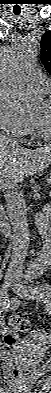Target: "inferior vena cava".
Here are the masks:
<instances>
[{
	"label": "inferior vena cava",
	"mask_w": 51,
	"mask_h": 393,
	"mask_svg": "<svg viewBox=\"0 0 51 393\" xmlns=\"http://www.w3.org/2000/svg\"><path fill=\"white\" fill-rule=\"evenodd\" d=\"M5 199L13 230V254L7 270L8 275H20L30 243L27 212L24 199L7 188Z\"/></svg>",
	"instance_id": "602c4592"
}]
</instances>
